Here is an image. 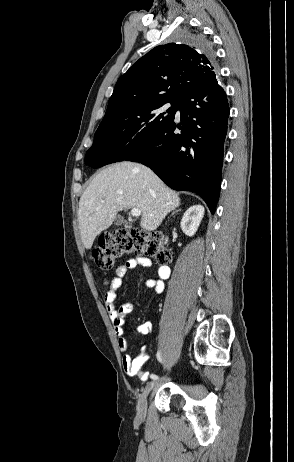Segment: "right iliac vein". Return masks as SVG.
<instances>
[{
	"instance_id": "obj_1",
	"label": "right iliac vein",
	"mask_w": 294,
	"mask_h": 462,
	"mask_svg": "<svg viewBox=\"0 0 294 462\" xmlns=\"http://www.w3.org/2000/svg\"><path fill=\"white\" fill-rule=\"evenodd\" d=\"M156 382L152 381L146 385L144 388L143 392L139 396L138 402H137V417L139 419H143L146 415L147 411V406H146V399L148 394L151 392V390L155 387Z\"/></svg>"
}]
</instances>
